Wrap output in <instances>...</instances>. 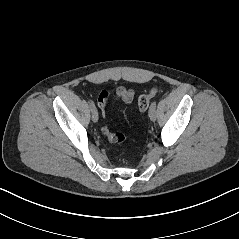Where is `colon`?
<instances>
[{"label": "colon", "mask_w": 239, "mask_h": 239, "mask_svg": "<svg viewBox=\"0 0 239 239\" xmlns=\"http://www.w3.org/2000/svg\"><path fill=\"white\" fill-rule=\"evenodd\" d=\"M159 89L157 87H152L150 91L139 97L138 108L141 113H145L148 109L150 100L158 94ZM110 96V91L103 90L98 96L97 102L103 116H105V106L106 102ZM102 132L109 142L113 144H122L126 141V137L122 133H113L106 126L102 128Z\"/></svg>", "instance_id": "1"}]
</instances>
